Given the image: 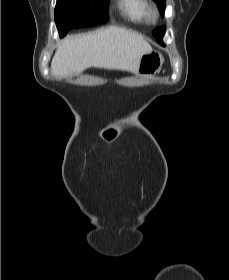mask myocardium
I'll return each mask as SVG.
<instances>
[{"label": "myocardium", "mask_w": 229, "mask_h": 280, "mask_svg": "<svg viewBox=\"0 0 229 280\" xmlns=\"http://www.w3.org/2000/svg\"><path fill=\"white\" fill-rule=\"evenodd\" d=\"M157 18V13L155 11H151L149 14V19L155 21Z\"/></svg>", "instance_id": "obj_1"}]
</instances>
